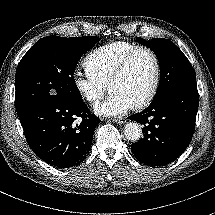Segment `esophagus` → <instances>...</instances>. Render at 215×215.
I'll use <instances>...</instances> for the list:
<instances>
[{"label": "esophagus", "mask_w": 215, "mask_h": 215, "mask_svg": "<svg viewBox=\"0 0 215 215\" xmlns=\"http://www.w3.org/2000/svg\"><path fill=\"white\" fill-rule=\"evenodd\" d=\"M114 122L118 124H122V123H125L126 120L124 118H120V119H114Z\"/></svg>", "instance_id": "obj_1"}]
</instances>
